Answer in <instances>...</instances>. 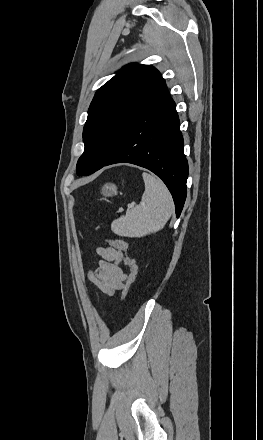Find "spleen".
<instances>
[{"instance_id":"spleen-1","label":"spleen","mask_w":263,"mask_h":440,"mask_svg":"<svg viewBox=\"0 0 263 440\" xmlns=\"http://www.w3.org/2000/svg\"><path fill=\"white\" fill-rule=\"evenodd\" d=\"M145 191L141 203L111 223V230L125 237H143L161 230L173 213L174 204L166 185L154 175L142 173Z\"/></svg>"}]
</instances>
